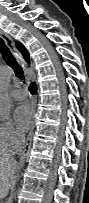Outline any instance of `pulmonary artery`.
<instances>
[{
    "label": "pulmonary artery",
    "mask_w": 89,
    "mask_h": 203,
    "mask_svg": "<svg viewBox=\"0 0 89 203\" xmlns=\"http://www.w3.org/2000/svg\"><path fill=\"white\" fill-rule=\"evenodd\" d=\"M11 96L16 100H24L27 97V93L22 89H14L11 92Z\"/></svg>",
    "instance_id": "pulmonary-artery-1"
}]
</instances>
